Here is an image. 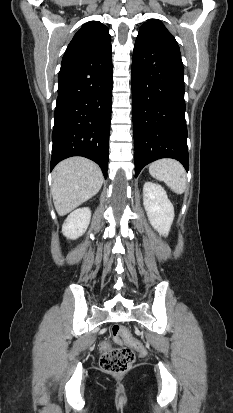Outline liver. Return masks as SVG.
Returning <instances> with one entry per match:
<instances>
[{"label":"liver","mask_w":233,"mask_h":413,"mask_svg":"<svg viewBox=\"0 0 233 413\" xmlns=\"http://www.w3.org/2000/svg\"><path fill=\"white\" fill-rule=\"evenodd\" d=\"M99 166L83 157L61 161L53 170L51 194L54 206L64 216L97 194L103 184Z\"/></svg>","instance_id":"obj_1"}]
</instances>
